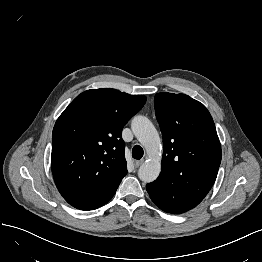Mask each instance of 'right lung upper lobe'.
Instances as JSON below:
<instances>
[{
    "label": "right lung upper lobe",
    "instance_id": "obj_1",
    "mask_svg": "<svg viewBox=\"0 0 262 262\" xmlns=\"http://www.w3.org/2000/svg\"><path fill=\"white\" fill-rule=\"evenodd\" d=\"M145 102L143 95L91 89L60 115L52 133L51 167L70 205L93 210L114 196L127 174L122 129Z\"/></svg>",
    "mask_w": 262,
    "mask_h": 262
}]
</instances>
